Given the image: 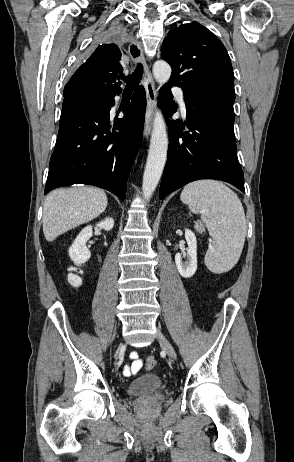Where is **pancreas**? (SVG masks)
Here are the masks:
<instances>
[{
	"label": "pancreas",
	"mask_w": 294,
	"mask_h": 462,
	"mask_svg": "<svg viewBox=\"0 0 294 462\" xmlns=\"http://www.w3.org/2000/svg\"><path fill=\"white\" fill-rule=\"evenodd\" d=\"M195 229H196V231H197L199 234H202V233L205 232V228H204V226H203L202 224H198V223H197V224L195 225Z\"/></svg>",
	"instance_id": "pancreas-1"
}]
</instances>
